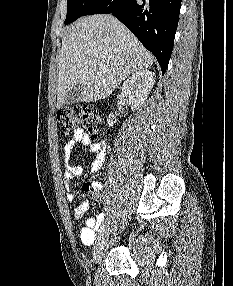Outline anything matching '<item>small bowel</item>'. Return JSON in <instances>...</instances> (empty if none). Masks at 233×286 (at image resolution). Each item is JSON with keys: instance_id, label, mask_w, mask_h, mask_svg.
I'll list each match as a JSON object with an SVG mask.
<instances>
[{"instance_id": "c3829d8e", "label": "small bowel", "mask_w": 233, "mask_h": 286, "mask_svg": "<svg viewBox=\"0 0 233 286\" xmlns=\"http://www.w3.org/2000/svg\"><path fill=\"white\" fill-rule=\"evenodd\" d=\"M82 144L89 147L91 152L96 153V158L91 165V172L97 173L102 168L106 155H107V146L103 140L94 141L93 138L84 132L83 129L77 128L74 130L72 137L65 143L64 146V161H65V187L68 191L67 199L70 202H73L77 198V193L72 192V180L76 177H80L83 173V168L80 165H74L70 162L72 152L74 148ZM84 192H87L83 189ZM98 200L103 199V194L101 187L92 192ZM90 210V203L88 201L81 202L73 212L75 220H79L86 212ZM104 214L100 213L96 216L88 217L85 221V226L80 229L79 235L81 242L85 245H90L93 243L96 231L99 228L101 222L103 221ZM102 220V221H101Z\"/></svg>"}]
</instances>
